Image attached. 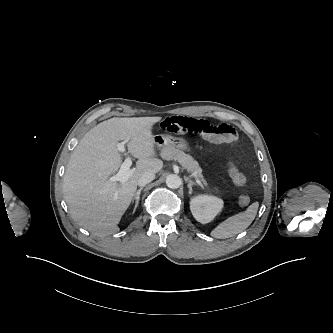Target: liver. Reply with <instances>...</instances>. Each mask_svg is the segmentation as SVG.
I'll list each match as a JSON object with an SVG mask.
<instances>
[{"label":"liver","instance_id":"1","mask_svg":"<svg viewBox=\"0 0 333 333\" xmlns=\"http://www.w3.org/2000/svg\"><path fill=\"white\" fill-rule=\"evenodd\" d=\"M161 117L111 118L90 129L71 154L63 178V195L78 225L96 236L119 231L118 223L145 172L158 173L162 160L155 156L152 127ZM127 141L128 152L138 159L124 183L111 182L121 167L117 141Z\"/></svg>","mask_w":333,"mask_h":333}]
</instances>
